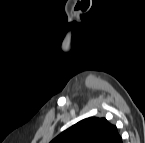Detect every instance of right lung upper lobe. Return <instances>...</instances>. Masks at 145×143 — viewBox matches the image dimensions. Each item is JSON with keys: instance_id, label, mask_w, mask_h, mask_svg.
I'll list each match as a JSON object with an SVG mask.
<instances>
[{"instance_id": "cb5924a9", "label": "right lung upper lobe", "mask_w": 145, "mask_h": 143, "mask_svg": "<svg viewBox=\"0 0 145 143\" xmlns=\"http://www.w3.org/2000/svg\"><path fill=\"white\" fill-rule=\"evenodd\" d=\"M51 143H122V139L105 118L91 117L68 128Z\"/></svg>"}]
</instances>
